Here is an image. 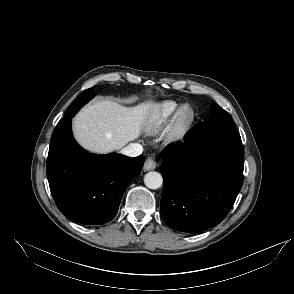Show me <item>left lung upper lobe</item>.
Here are the masks:
<instances>
[{"label":"left lung upper lobe","mask_w":294,"mask_h":294,"mask_svg":"<svg viewBox=\"0 0 294 294\" xmlns=\"http://www.w3.org/2000/svg\"><path fill=\"white\" fill-rule=\"evenodd\" d=\"M210 113L212 118L228 119L231 118V115L222 109L218 104H212Z\"/></svg>","instance_id":"left-lung-upper-lobe-1"}]
</instances>
